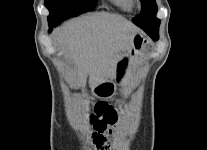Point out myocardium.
Listing matches in <instances>:
<instances>
[{"label": "myocardium", "mask_w": 207, "mask_h": 150, "mask_svg": "<svg viewBox=\"0 0 207 150\" xmlns=\"http://www.w3.org/2000/svg\"><path fill=\"white\" fill-rule=\"evenodd\" d=\"M137 4H139L140 3V0H134Z\"/></svg>", "instance_id": "1"}]
</instances>
